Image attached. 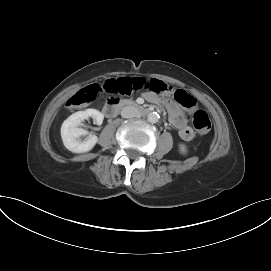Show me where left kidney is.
<instances>
[{
    "label": "left kidney",
    "instance_id": "obj_1",
    "mask_svg": "<svg viewBox=\"0 0 271 271\" xmlns=\"http://www.w3.org/2000/svg\"><path fill=\"white\" fill-rule=\"evenodd\" d=\"M179 149H180V152L183 154L187 152L186 146L184 144H180Z\"/></svg>",
    "mask_w": 271,
    "mask_h": 271
}]
</instances>
